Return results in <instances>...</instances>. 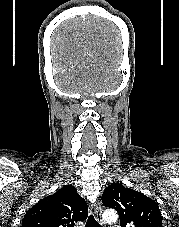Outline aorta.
Masks as SVG:
<instances>
[{"label":"aorta","instance_id":"obj_1","mask_svg":"<svg viewBox=\"0 0 179 227\" xmlns=\"http://www.w3.org/2000/svg\"><path fill=\"white\" fill-rule=\"evenodd\" d=\"M102 217H103L104 221H106L108 223H111V222H116L117 221L118 214L114 210H106V211H104Z\"/></svg>","mask_w":179,"mask_h":227}]
</instances>
